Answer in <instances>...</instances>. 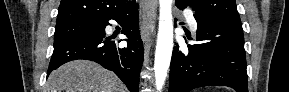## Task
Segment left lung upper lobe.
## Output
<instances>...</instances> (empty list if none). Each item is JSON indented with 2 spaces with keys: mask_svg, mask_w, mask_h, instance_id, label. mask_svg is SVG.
Masks as SVG:
<instances>
[{
  "mask_svg": "<svg viewBox=\"0 0 289 92\" xmlns=\"http://www.w3.org/2000/svg\"><path fill=\"white\" fill-rule=\"evenodd\" d=\"M185 2L201 15L241 25L235 0H176Z\"/></svg>",
  "mask_w": 289,
  "mask_h": 92,
  "instance_id": "1",
  "label": "left lung upper lobe"
}]
</instances>
